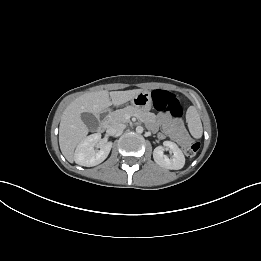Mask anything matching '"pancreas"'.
Returning <instances> with one entry per match:
<instances>
[{
  "label": "pancreas",
  "instance_id": "pancreas-1",
  "mask_svg": "<svg viewBox=\"0 0 261 261\" xmlns=\"http://www.w3.org/2000/svg\"><path fill=\"white\" fill-rule=\"evenodd\" d=\"M127 115L137 116L144 119L154 117V115L150 112H145L134 106H128L124 109L116 110L109 114L106 122L108 123V125H113L115 123H127L129 122V119L126 117Z\"/></svg>",
  "mask_w": 261,
  "mask_h": 261
}]
</instances>
